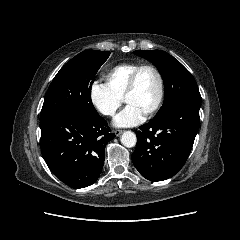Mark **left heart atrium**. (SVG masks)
I'll list each match as a JSON object with an SVG mask.
<instances>
[{"label": "left heart atrium", "mask_w": 240, "mask_h": 240, "mask_svg": "<svg viewBox=\"0 0 240 240\" xmlns=\"http://www.w3.org/2000/svg\"><path fill=\"white\" fill-rule=\"evenodd\" d=\"M144 113L137 107L128 104L114 119L115 126L132 127L143 121Z\"/></svg>", "instance_id": "1"}]
</instances>
